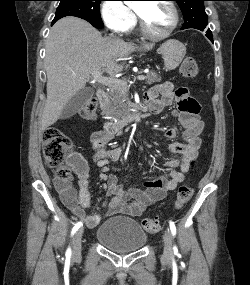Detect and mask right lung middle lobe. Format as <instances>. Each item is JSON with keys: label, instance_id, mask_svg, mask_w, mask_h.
I'll return each instance as SVG.
<instances>
[{"label": "right lung middle lobe", "instance_id": "1", "mask_svg": "<svg viewBox=\"0 0 250 285\" xmlns=\"http://www.w3.org/2000/svg\"><path fill=\"white\" fill-rule=\"evenodd\" d=\"M60 4L56 10L52 23L65 16H75L82 18L94 27L104 26L100 16V2L103 0H58Z\"/></svg>", "mask_w": 250, "mask_h": 285}]
</instances>
